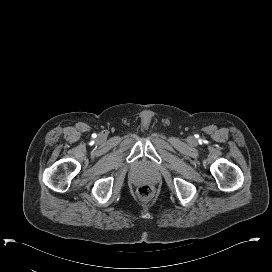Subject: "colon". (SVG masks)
<instances>
[{
	"label": "colon",
	"instance_id": "colon-1",
	"mask_svg": "<svg viewBox=\"0 0 272 272\" xmlns=\"http://www.w3.org/2000/svg\"><path fill=\"white\" fill-rule=\"evenodd\" d=\"M138 195L143 200H150L154 195V189L150 185H143L138 188Z\"/></svg>",
	"mask_w": 272,
	"mask_h": 272
}]
</instances>
